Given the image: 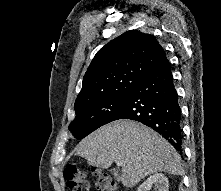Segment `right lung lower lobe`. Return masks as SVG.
Here are the masks:
<instances>
[{
  "label": "right lung lower lobe",
  "mask_w": 221,
  "mask_h": 191,
  "mask_svg": "<svg viewBox=\"0 0 221 191\" xmlns=\"http://www.w3.org/2000/svg\"><path fill=\"white\" fill-rule=\"evenodd\" d=\"M119 119L139 121L153 128L182 154L181 109L168 60L130 92L116 117Z\"/></svg>",
  "instance_id": "98d812e1"
}]
</instances>
